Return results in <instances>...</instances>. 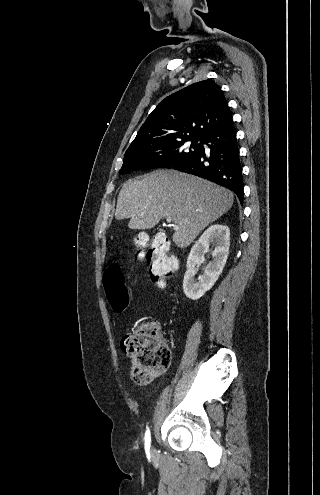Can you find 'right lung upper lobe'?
<instances>
[{
  "label": "right lung upper lobe",
  "mask_w": 320,
  "mask_h": 495,
  "mask_svg": "<svg viewBox=\"0 0 320 495\" xmlns=\"http://www.w3.org/2000/svg\"><path fill=\"white\" fill-rule=\"evenodd\" d=\"M231 118L228 101L218 84L211 79L193 83L156 106L128 149L202 138Z\"/></svg>",
  "instance_id": "obj_1"
}]
</instances>
